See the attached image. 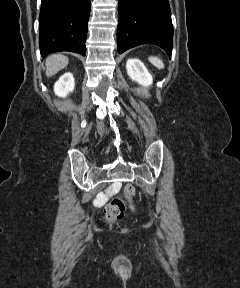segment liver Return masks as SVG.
<instances>
[{"instance_id":"1","label":"liver","mask_w":240,"mask_h":288,"mask_svg":"<svg viewBox=\"0 0 240 288\" xmlns=\"http://www.w3.org/2000/svg\"><path fill=\"white\" fill-rule=\"evenodd\" d=\"M69 63L67 56L62 54H53L46 59V76L51 77L64 69Z\"/></svg>"}]
</instances>
